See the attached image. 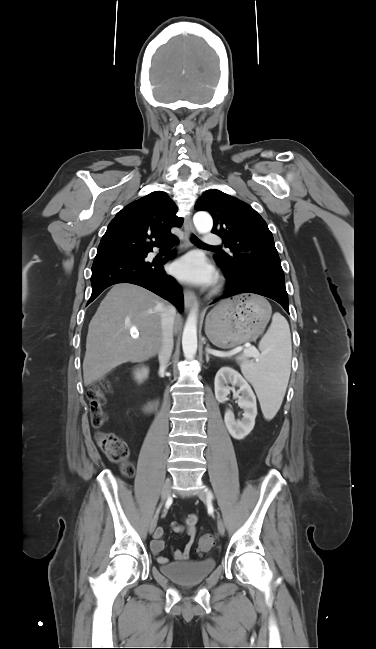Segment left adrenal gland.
Wrapping results in <instances>:
<instances>
[{"label":"left adrenal gland","mask_w":376,"mask_h":649,"mask_svg":"<svg viewBox=\"0 0 376 649\" xmlns=\"http://www.w3.org/2000/svg\"><path fill=\"white\" fill-rule=\"evenodd\" d=\"M205 356H206V362L208 363V362H209V359H210L209 351H208V350H206V352H205Z\"/></svg>","instance_id":"a2214340"}]
</instances>
